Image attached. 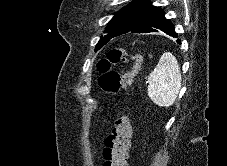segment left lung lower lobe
Segmentation results:
<instances>
[{
    "instance_id": "0a47b994",
    "label": "left lung lower lobe",
    "mask_w": 227,
    "mask_h": 166,
    "mask_svg": "<svg viewBox=\"0 0 227 166\" xmlns=\"http://www.w3.org/2000/svg\"><path fill=\"white\" fill-rule=\"evenodd\" d=\"M158 29L170 36L177 37V33L175 32L173 24L170 20L164 17V12L158 7L151 5L150 1H146L133 21L132 26L121 34L127 32H158ZM177 43L180 44V41L178 40Z\"/></svg>"
}]
</instances>
